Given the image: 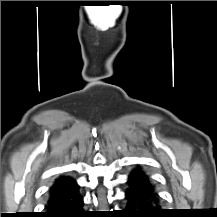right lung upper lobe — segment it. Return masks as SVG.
<instances>
[{
	"label": "right lung upper lobe",
	"mask_w": 217,
	"mask_h": 217,
	"mask_svg": "<svg viewBox=\"0 0 217 217\" xmlns=\"http://www.w3.org/2000/svg\"><path fill=\"white\" fill-rule=\"evenodd\" d=\"M77 183L75 180L69 178V177H60L58 178L54 185L51 187L49 195L54 196L61 194L63 192L69 191L72 188L77 187Z\"/></svg>",
	"instance_id": "1"
}]
</instances>
